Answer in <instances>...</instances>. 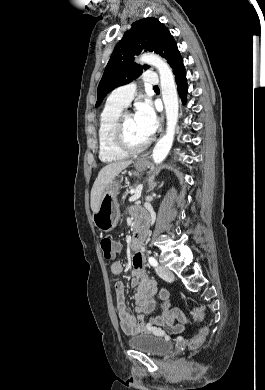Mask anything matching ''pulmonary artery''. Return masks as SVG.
Wrapping results in <instances>:
<instances>
[{"label":"pulmonary artery","mask_w":265,"mask_h":390,"mask_svg":"<svg viewBox=\"0 0 265 390\" xmlns=\"http://www.w3.org/2000/svg\"><path fill=\"white\" fill-rule=\"evenodd\" d=\"M144 81L148 85H157L159 83V79L153 70L146 71ZM135 92V83H130L125 86L119 87L108 97V103L125 108L132 101Z\"/></svg>","instance_id":"pulmonary-artery-1"}]
</instances>
